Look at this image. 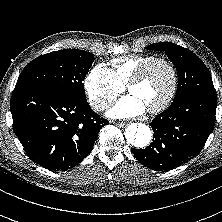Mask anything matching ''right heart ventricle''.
I'll list each match as a JSON object with an SVG mask.
<instances>
[{"label": "right heart ventricle", "mask_w": 222, "mask_h": 222, "mask_svg": "<svg viewBox=\"0 0 222 222\" xmlns=\"http://www.w3.org/2000/svg\"><path fill=\"white\" fill-rule=\"evenodd\" d=\"M155 58L153 55H129L119 58H114L111 61L112 72L118 82L125 85L135 71L147 61Z\"/></svg>", "instance_id": "e07e8e85"}]
</instances>
